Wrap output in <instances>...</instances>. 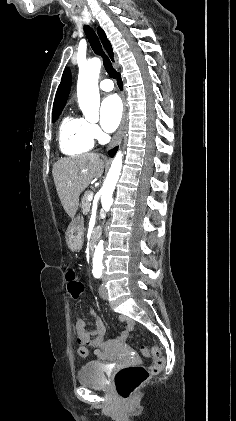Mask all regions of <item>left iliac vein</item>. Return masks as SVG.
Instances as JSON below:
<instances>
[{"mask_svg": "<svg viewBox=\"0 0 236 421\" xmlns=\"http://www.w3.org/2000/svg\"><path fill=\"white\" fill-rule=\"evenodd\" d=\"M99 292H100V296L103 299H108V293H107V289L104 285V282L100 285Z\"/></svg>", "mask_w": 236, "mask_h": 421, "instance_id": "obj_1", "label": "left iliac vein"}]
</instances>
